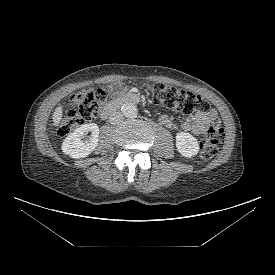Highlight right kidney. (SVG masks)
I'll use <instances>...</instances> for the list:
<instances>
[{
	"label": "right kidney",
	"instance_id": "right-kidney-1",
	"mask_svg": "<svg viewBox=\"0 0 275 275\" xmlns=\"http://www.w3.org/2000/svg\"><path fill=\"white\" fill-rule=\"evenodd\" d=\"M91 131L89 140H82L86 133ZM99 127L95 123L81 125L69 134L62 143V152L72 158H84L88 156L98 145Z\"/></svg>",
	"mask_w": 275,
	"mask_h": 275
}]
</instances>
